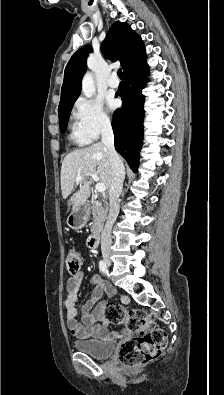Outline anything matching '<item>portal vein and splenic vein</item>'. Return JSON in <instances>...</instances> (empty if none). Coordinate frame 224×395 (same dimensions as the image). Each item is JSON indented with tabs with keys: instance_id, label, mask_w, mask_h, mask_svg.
Masks as SVG:
<instances>
[{
	"instance_id": "1",
	"label": "portal vein and splenic vein",
	"mask_w": 224,
	"mask_h": 395,
	"mask_svg": "<svg viewBox=\"0 0 224 395\" xmlns=\"http://www.w3.org/2000/svg\"><path fill=\"white\" fill-rule=\"evenodd\" d=\"M84 175H86V176H91L92 179H93L95 182H98V181H99V177H98L96 174H90V173H85V174H83V175L77 176V177H76V181H77V182H80V181L82 180V178H83ZM95 188H96V191H97L98 193H104L105 190H106V185L103 184V183H97L96 186H95Z\"/></svg>"
}]
</instances>
